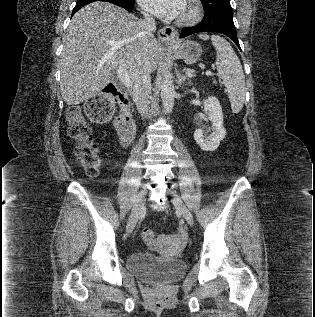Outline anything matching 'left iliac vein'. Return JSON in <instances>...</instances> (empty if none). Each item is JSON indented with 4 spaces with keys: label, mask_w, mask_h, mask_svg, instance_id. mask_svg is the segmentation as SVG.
I'll list each match as a JSON object with an SVG mask.
<instances>
[{
    "label": "left iliac vein",
    "mask_w": 315,
    "mask_h": 317,
    "mask_svg": "<svg viewBox=\"0 0 315 317\" xmlns=\"http://www.w3.org/2000/svg\"><path fill=\"white\" fill-rule=\"evenodd\" d=\"M167 193L172 195V203L175 208L181 213L182 217L187 221V223L193 225V216L186 205L183 203L180 196H178L171 190H168Z\"/></svg>",
    "instance_id": "4c4485c4"
}]
</instances>
